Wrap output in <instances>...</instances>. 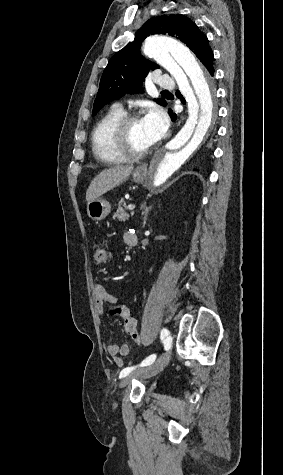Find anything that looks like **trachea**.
I'll return each mask as SVG.
<instances>
[{
	"mask_svg": "<svg viewBox=\"0 0 283 475\" xmlns=\"http://www.w3.org/2000/svg\"><path fill=\"white\" fill-rule=\"evenodd\" d=\"M162 93H165V94H167V95H172V94H170V92H169L168 90H163Z\"/></svg>",
	"mask_w": 283,
	"mask_h": 475,
	"instance_id": "obj_1",
	"label": "trachea"
}]
</instances>
